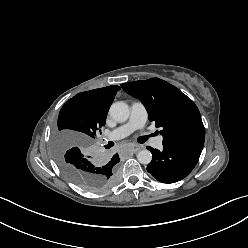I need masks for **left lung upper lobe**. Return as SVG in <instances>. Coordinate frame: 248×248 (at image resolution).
Returning a JSON list of instances; mask_svg holds the SVG:
<instances>
[{"instance_id": "obj_1", "label": "left lung upper lobe", "mask_w": 248, "mask_h": 248, "mask_svg": "<svg viewBox=\"0 0 248 248\" xmlns=\"http://www.w3.org/2000/svg\"><path fill=\"white\" fill-rule=\"evenodd\" d=\"M121 87L139 99L148 112L149 120L162 128L163 144L189 136L205 135L197 106L175 86L152 78L124 83Z\"/></svg>"}]
</instances>
